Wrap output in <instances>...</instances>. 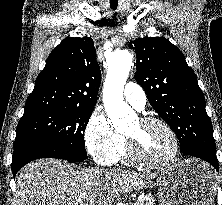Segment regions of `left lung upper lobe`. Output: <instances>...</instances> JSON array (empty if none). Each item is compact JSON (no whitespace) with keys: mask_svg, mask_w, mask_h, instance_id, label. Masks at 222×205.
Returning <instances> with one entry per match:
<instances>
[{"mask_svg":"<svg viewBox=\"0 0 222 205\" xmlns=\"http://www.w3.org/2000/svg\"><path fill=\"white\" fill-rule=\"evenodd\" d=\"M128 46L137 57L135 79L154 110L175 131L180 151L216 156L204 94L181 51L160 37L140 38Z\"/></svg>","mask_w":222,"mask_h":205,"instance_id":"5c2ea615","label":"left lung upper lobe"}]
</instances>
